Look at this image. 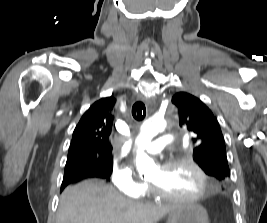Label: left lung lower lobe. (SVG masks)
I'll use <instances>...</instances> for the list:
<instances>
[{
  "instance_id": "1",
  "label": "left lung lower lobe",
  "mask_w": 267,
  "mask_h": 223,
  "mask_svg": "<svg viewBox=\"0 0 267 223\" xmlns=\"http://www.w3.org/2000/svg\"><path fill=\"white\" fill-rule=\"evenodd\" d=\"M217 190H228L229 186L226 185V182H219V185L216 186Z\"/></svg>"
}]
</instances>
